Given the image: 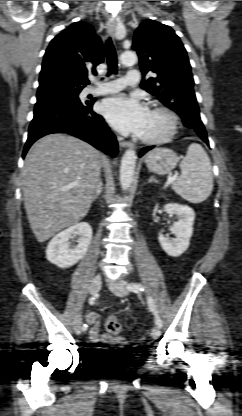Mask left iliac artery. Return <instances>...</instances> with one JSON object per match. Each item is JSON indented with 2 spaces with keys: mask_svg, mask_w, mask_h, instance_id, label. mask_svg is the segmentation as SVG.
I'll list each match as a JSON object with an SVG mask.
<instances>
[{
  "mask_svg": "<svg viewBox=\"0 0 242 416\" xmlns=\"http://www.w3.org/2000/svg\"><path fill=\"white\" fill-rule=\"evenodd\" d=\"M127 289L129 290V291H133V292H135V293H138V292H140V291H145V288H144V286L143 285H141V284H139V283H129L128 285H127ZM147 303H148V306H149V309H150V311L154 314V316H155V322H156V325L159 327V328H161L162 327V320L160 319V317H159V315H158V311H157V309H156V306H155V304H154V302H153V300H152V298L150 297V296H148L147 297Z\"/></svg>",
  "mask_w": 242,
  "mask_h": 416,
  "instance_id": "44dca946",
  "label": "left iliac artery"
}]
</instances>
